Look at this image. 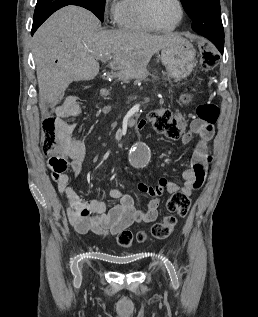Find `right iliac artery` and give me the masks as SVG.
I'll list each match as a JSON object with an SVG mask.
<instances>
[{"instance_id": "1", "label": "right iliac artery", "mask_w": 258, "mask_h": 317, "mask_svg": "<svg viewBox=\"0 0 258 317\" xmlns=\"http://www.w3.org/2000/svg\"><path fill=\"white\" fill-rule=\"evenodd\" d=\"M74 287L75 288H79L80 287V285H81V281H78V280H74Z\"/></svg>"}]
</instances>
